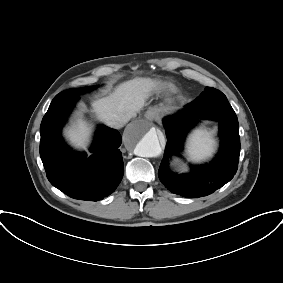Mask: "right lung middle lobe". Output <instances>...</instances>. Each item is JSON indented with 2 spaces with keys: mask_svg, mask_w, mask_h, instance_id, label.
Returning a JSON list of instances; mask_svg holds the SVG:
<instances>
[{
  "mask_svg": "<svg viewBox=\"0 0 283 283\" xmlns=\"http://www.w3.org/2000/svg\"><path fill=\"white\" fill-rule=\"evenodd\" d=\"M91 89H93V88L69 89V90L63 91L62 93H64V92H74V93H77V94H82V93L89 91Z\"/></svg>",
  "mask_w": 283,
  "mask_h": 283,
  "instance_id": "obj_1",
  "label": "right lung middle lobe"
}]
</instances>
